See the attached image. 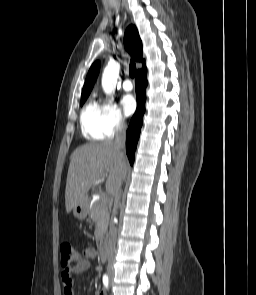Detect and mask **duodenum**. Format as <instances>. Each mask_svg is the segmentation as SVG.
<instances>
[{
  "mask_svg": "<svg viewBox=\"0 0 256 295\" xmlns=\"http://www.w3.org/2000/svg\"><path fill=\"white\" fill-rule=\"evenodd\" d=\"M98 250H99L100 257L103 260H106L108 258V251H107V247L105 246L104 242L99 243Z\"/></svg>",
  "mask_w": 256,
  "mask_h": 295,
  "instance_id": "410a0bca",
  "label": "duodenum"
}]
</instances>
